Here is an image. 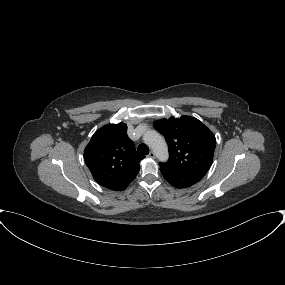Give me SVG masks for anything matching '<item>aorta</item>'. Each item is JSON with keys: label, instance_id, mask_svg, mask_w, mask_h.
Segmentation results:
<instances>
[{"label": "aorta", "instance_id": "1", "mask_svg": "<svg viewBox=\"0 0 285 285\" xmlns=\"http://www.w3.org/2000/svg\"><path fill=\"white\" fill-rule=\"evenodd\" d=\"M143 140L145 144L153 150L160 161L165 162L168 160L169 154L167 143L158 132L154 130L147 131L143 136Z\"/></svg>", "mask_w": 285, "mask_h": 285}]
</instances>
